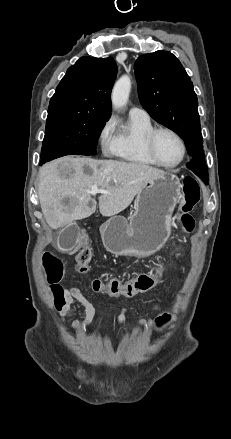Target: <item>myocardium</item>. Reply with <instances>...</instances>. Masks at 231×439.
Returning a JSON list of instances; mask_svg holds the SVG:
<instances>
[{
  "instance_id": "f54148a6",
  "label": "myocardium",
  "mask_w": 231,
  "mask_h": 439,
  "mask_svg": "<svg viewBox=\"0 0 231 439\" xmlns=\"http://www.w3.org/2000/svg\"><path fill=\"white\" fill-rule=\"evenodd\" d=\"M161 132H167V133H170L171 135H173L178 140V142L181 146V157L174 164H166V163L162 162L156 153L155 141H156L158 134H160ZM144 146H145L146 153L148 154L150 159L156 165L163 167V168H167V169H172V168L178 167L184 161V159L186 157V153H187L186 143H185L184 139L182 138V136L174 129H172L170 127H164V126L163 127H155L151 131H149L147 133V135L145 136Z\"/></svg>"
}]
</instances>
